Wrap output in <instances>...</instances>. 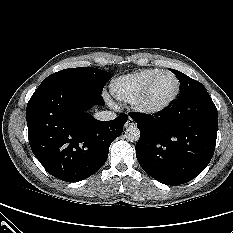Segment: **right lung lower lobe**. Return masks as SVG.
<instances>
[{
  "mask_svg": "<svg viewBox=\"0 0 233 233\" xmlns=\"http://www.w3.org/2000/svg\"><path fill=\"white\" fill-rule=\"evenodd\" d=\"M103 105L101 93L64 81L34 92L27 105L30 147L54 177L77 182L105 163L109 146L123 130L128 116L99 121L86 111Z\"/></svg>",
  "mask_w": 233,
  "mask_h": 233,
  "instance_id": "obj_1",
  "label": "right lung lower lobe"
}]
</instances>
